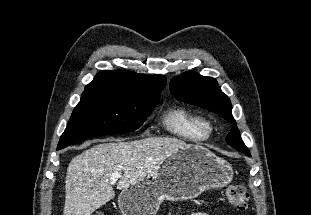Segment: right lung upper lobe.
<instances>
[{"mask_svg":"<svg viewBox=\"0 0 311 215\" xmlns=\"http://www.w3.org/2000/svg\"><path fill=\"white\" fill-rule=\"evenodd\" d=\"M166 86L163 75H144L130 71H100L83 93L102 92L136 98H160Z\"/></svg>","mask_w":311,"mask_h":215,"instance_id":"1","label":"right lung upper lobe"}]
</instances>
